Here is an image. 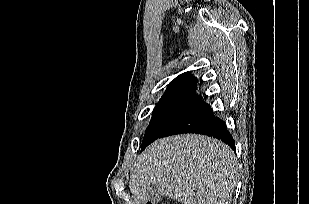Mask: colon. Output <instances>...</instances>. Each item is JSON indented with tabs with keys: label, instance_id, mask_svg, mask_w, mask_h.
I'll return each mask as SVG.
<instances>
[{
	"label": "colon",
	"instance_id": "1",
	"mask_svg": "<svg viewBox=\"0 0 309 204\" xmlns=\"http://www.w3.org/2000/svg\"><path fill=\"white\" fill-rule=\"evenodd\" d=\"M146 204H156L155 202H152V201H148ZM160 204H170L169 202H162Z\"/></svg>",
	"mask_w": 309,
	"mask_h": 204
}]
</instances>
